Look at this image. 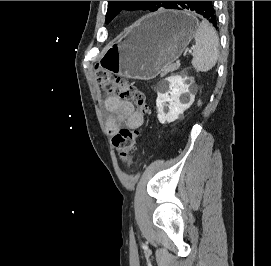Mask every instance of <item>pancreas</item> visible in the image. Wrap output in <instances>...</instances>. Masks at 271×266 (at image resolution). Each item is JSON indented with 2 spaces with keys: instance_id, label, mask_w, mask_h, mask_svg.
<instances>
[{
  "instance_id": "cf45deb5",
  "label": "pancreas",
  "mask_w": 271,
  "mask_h": 266,
  "mask_svg": "<svg viewBox=\"0 0 271 266\" xmlns=\"http://www.w3.org/2000/svg\"><path fill=\"white\" fill-rule=\"evenodd\" d=\"M178 68H179V65H178V64H175V63L169 64L168 66H166V67L163 69L161 75L164 76V75H166V74L169 73V72H173V71L177 70Z\"/></svg>"
}]
</instances>
